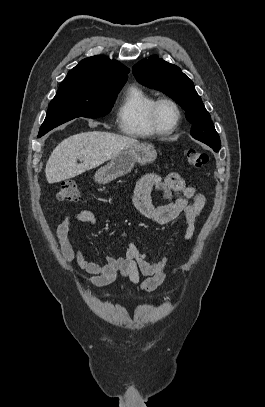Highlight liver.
<instances>
[{"instance_id": "1", "label": "liver", "mask_w": 265, "mask_h": 407, "mask_svg": "<svg viewBox=\"0 0 265 407\" xmlns=\"http://www.w3.org/2000/svg\"><path fill=\"white\" fill-rule=\"evenodd\" d=\"M137 144L136 139L102 131L72 135L51 153L45 168L47 182L53 184L74 178ZM77 159L82 163L78 164Z\"/></svg>"}]
</instances>
